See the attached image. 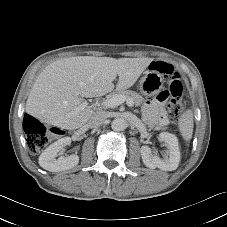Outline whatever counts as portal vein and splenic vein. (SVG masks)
<instances>
[{
	"label": "portal vein and splenic vein",
	"instance_id": "1",
	"mask_svg": "<svg viewBox=\"0 0 227 227\" xmlns=\"http://www.w3.org/2000/svg\"><path fill=\"white\" fill-rule=\"evenodd\" d=\"M125 101L127 103V106H129V107H133L134 106V102L131 99L126 100L125 97L124 96H121V95H115V96H112L111 98L105 99L101 103H99L98 106H103V107H106V108H114L116 106L121 105ZM87 106H88L87 101H83L75 109V111L76 112H79L80 110H83Z\"/></svg>",
	"mask_w": 227,
	"mask_h": 227
}]
</instances>
